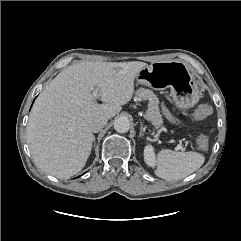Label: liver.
Listing matches in <instances>:
<instances>
[{
  "label": "liver",
  "mask_w": 241,
  "mask_h": 241,
  "mask_svg": "<svg viewBox=\"0 0 241 241\" xmlns=\"http://www.w3.org/2000/svg\"><path fill=\"white\" fill-rule=\"evenodd\" d=\"M144 62H82L59 73L31 110L27 140L35 164L60 179L82 170L91 153V123L111 119L134 93ZM98 93L102 104L97 103ZM97 97V98H98Z\"/></svg>",
  "instance_id": "obj_1"
}]
</instances>
